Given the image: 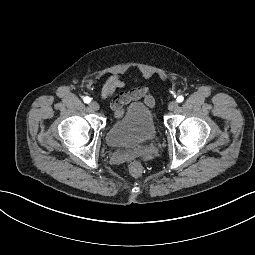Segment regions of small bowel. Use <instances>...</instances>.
<instances>
[{
  "label": "small bowel",
  "mask_w": 255,
  "mask_h": 255,
  "mask_svg": "<svg viewBox=\"0 0 255 255\" xmlns=\"http://www.w3.org/2000/svg\"><path fill=\"white\" fill-rule=\"evenodd\" d=\"M124 86L125 82L121 75L113 74L106 80L99 93L100 98L110 100V106L116 118L120 117L124 113L125 106L133 100L143 98L147 105L151 107L154 105V99L143 87H138L128 92H120L119 94H116V90L123 88ZM138 153L139 152L137 150H131L117 155L114 157V161L117 163L127 162L136 157ZM145 158H150V156L146 155Z\"/></svg>",
  "instance_id": "obj_1"
}]
</instances>
